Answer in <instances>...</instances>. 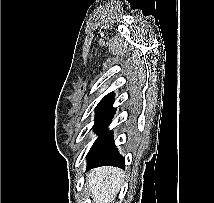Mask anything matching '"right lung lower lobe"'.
Wrapping results in <instances>:
<instances>
[{
	"mask_svg": "<svg viewBox=\"0 0 214 203\" xmlns=\"http://www.w3.org/2000/svg\"><path fill=\"white\" fill-rule=\"evenodd\" d=\"M115 108L112 106L95 123L93 129L99 134L87 155V170L99 166L125 167V160L119 154L114 142L113 133L108 130Z\"/></svg>",
	"mask_w": 214,
	"mask_h": 203,
	"instance_id": "obj_1",
	"label": "right lung lower lobe"
}]
</instances>
